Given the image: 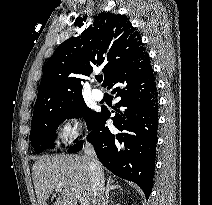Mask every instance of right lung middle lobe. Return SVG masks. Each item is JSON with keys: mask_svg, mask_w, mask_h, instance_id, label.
<instances>
[{"mask_svg": "<svg viewBox=\"0 0 212 205\" xmlns=\"http://www.w3.org/2000/svg\"><path fill=\"white\" fill-rule=\"evenodd\" d=\"M98 115L86 106L84 99L68 105H46L35 109L30 132L32 145L38 153L52 149L55 131L64 120L84 117L89 130Z\"/></svg>", "mask_w": 212, "mask_h": 205, "instance_id": "obj_1", "label": "right lung middle lobe"}]
</instances>
